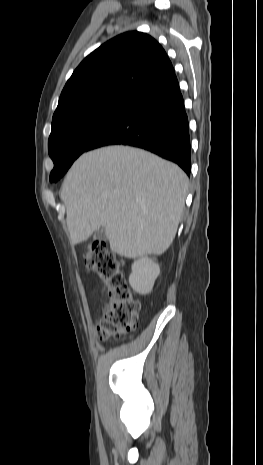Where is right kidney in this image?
I'll return each mask as SVG.
<instances>
[{"instance_id":"ca27d5eb","label":"right kidney","mask_w":263,"mask_h":465,"mask_svg":"<svg viewBox=\"0 0 263 465\" xmlns=\"http://www.w3.org/2000/svg\"><path fill=\"white\" fill-rule=\"evenodd\" d=\"M159 273V265L153 259L140 258L132 264L129 284L136 292L147 294L152 290Z\"/></svg>"}]
</instances>
